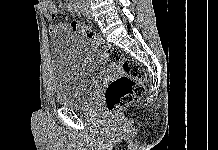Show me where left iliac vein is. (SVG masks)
<instances>
[{
    "label": "left iliac vein",
    "instance_id": "obj_1",
    "mask_svg": "<svg viewBox=\"0 0 218 150\" xmlns=\"http://www.w3.org/2000/svg\"><path fill=\"white\" fill-rule=\"evenodd\" d=\"M85 15H86V17H87L88 19H91V18H92V17H91V13H90V11L88 10L87 7H85Z\"/></svg>",
    "mask_w": 218,
    "mask_h": 150
}]
</instances>
